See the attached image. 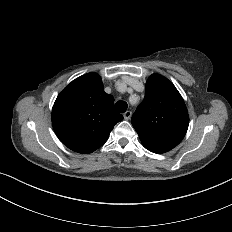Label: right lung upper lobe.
Here are the masks:
<instances>
[{"label":"right lung upper lobe","instance_id":"cb5924a9","mask_svg":"<svg viewBox=\"0 0 232 232\" xmlns=\"http://www.w3.org/2000/svg\"><path fill=\"white\" fill-rule=\"evenodd\" d=\"M122 120L113 96L105 93L101 77L94 72L73 80L58 95L52 109V125L59 140L83 154L101 147Z\"/></svg>","mask_w":232,"mask_h":232}]
</instances>
